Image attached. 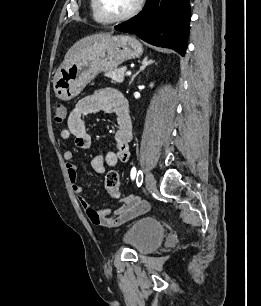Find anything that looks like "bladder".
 <instances>
[{"mask_svg":"<svg viewBox=\"0 0 261 306\" xmlns=\"http://www.w3.org/2000/svg\"><path fill=\"white\" fill-rule=\"evenodd\" d=\"M164 227L157 220L144 217L133 222L123 234V242L137 254L156 250L163 241Z\"/></svg>","mask_w":261,"mask_h":306,"instance_id":"1","label":"bladder"}]
</instances>
